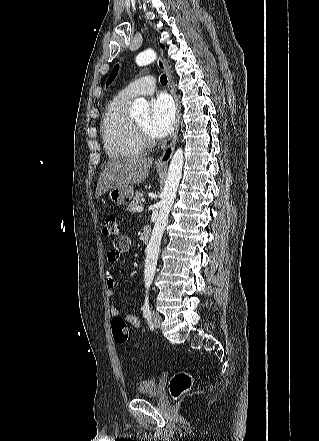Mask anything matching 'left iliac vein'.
<instances>
[{"instance_id": "4c4485c4", "label": "left iliac vein", "mask_w": 319, "mask_h": 441, "mask_svg": "<svg viewBox=\"0 0 319 441\" xmlns=\"http://www.w3.org/2000/svg\"><path fill=\"white\" fill-rule=\"evenodd\" d=\"M151 322L155 328H159L162 322V318L158 312L153 311L151 314Z\"/></svg>"}]
</instances>
